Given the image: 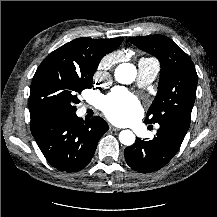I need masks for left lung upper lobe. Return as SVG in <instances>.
Wrapping results in <instances>:
<instances>
[{
	"label": "left lung upper lobe",
	"mask_w": 217,
	"mask_h": 217,
	"mask_svg": "<svg viewBox=\"0 0 217 217\" xmlns=\"http://www.w3.org/2000/svg\"><path fill=\"white\" fill-rule=\"evenodd\" d=\"M129 41L154 55L161 66L158 92L145 123L174 121L189 128L198 81L189 56L164 35L130 37Z\"/></svg>",
	"instance_id": "obj_1"
}]
</instances>
